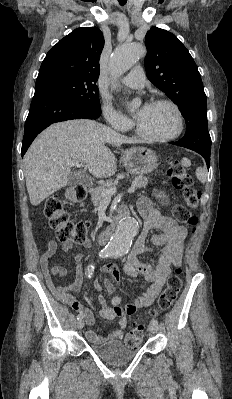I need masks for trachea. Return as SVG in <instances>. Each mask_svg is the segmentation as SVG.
Segmentation results:
<instances>
[{"mask_svg": "<svg viewBox=\"0 0 232 399\" xmlns=\"http://www.w3.org/2000/svg\"><path fill=\"white\" fill-rule=\"evenodd\" d=\"M118 2H119L120 5H125L127 0H118Z\"/></svg>", "mask_w": 232, "mask_h": 399, "instance_id": "3493384b", "label": "trachea"}]
</instances>
